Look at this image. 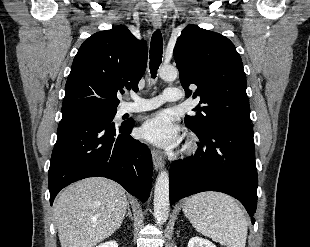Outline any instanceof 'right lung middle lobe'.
Wrapping results in <instances>:
<instances>
[{"label":"right lung middle lobe","mask_w":310,"mask_h":247,"mask_svg":"<svg viewBox=\"0 0 310 247\" xmlns=\"http://www.w3.org/2000/svg\"><path fill=\"white\" fill-rule=\"evenodd\" d=\"M116 109H102L96 107H78L62 111V119L80 118V117H109L113 119Z\"/></svg>","instance_id":"obj_1"}]
</instances>
